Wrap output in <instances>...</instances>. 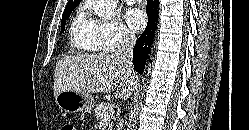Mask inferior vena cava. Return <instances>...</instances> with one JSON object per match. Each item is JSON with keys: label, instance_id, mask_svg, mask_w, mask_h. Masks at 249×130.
<instances>
[{"label": "inferior vena cava", "instance_id": "obj_1", "mask_svg": "<svg viewBox=\"0 0 249 130\" xmlns=\"http://www.w3.org/2000/svg\"><path fill=\"white\" fill-rule=\"evenodd\" d=\"M136 38L129 34L123 35L122 42L118 53L116 54L117 61L122 64L130 73L133 72V47Z\"/></svg>", "mask_w": 249, "mask_h": 130}]
</instances>
